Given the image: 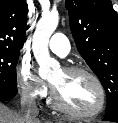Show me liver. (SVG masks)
Returning a JSON list of instances; mask_svg holds the SVG:
<instances>
[{
    "instance_id": "liver-1",
    "label": "liver",
    "mask_w": 118,
    "mask_h": 123,
    "mask_svg": "<svg viewBox=\"0 0 118 123\" xmlns=\"http://www.w3.org/2000/svg\"><path fill=\"white\" fill-rule=\"evenodd\" d=\"M0 123H26L22 115L0 102ZM33 123H40L36 120Z\"/></svg>"
}]
</instances>
